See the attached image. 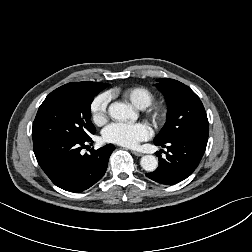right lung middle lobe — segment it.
<instances>
[{
	"label": "right lung middle lobe",
	"instance_id": "right-lung-middle-lobe-1",
	"mask_svg": "<svg viewBox=\"0 0 252 252\" xmlns=\"http://www.w3.org/2000/svg\"><path fill=\"white\" fill-rule=\"evenodd\" d=\"M99 91L65 84L52 91L38 109L32 138L86 140L95 133L90 105Z\"/></svg>",
	"mask_w": 252,
	"mask_h": 252
}]
</instances>
